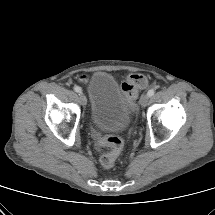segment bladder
<instances>
[{"label": "bladder", "mask_w": 215, "mask_h": 215, "mask_svg": "<svg viewBox=\"0 0 215 215\" xmlns=\"http://www.w3.org/2000/svg\"><path fill=\"white\" fill-rule=\"evenodd\" d=\"M90 118L100 130L119 132L131 120L130 107L115 78L107 72L93 74L88 84Z\"/></svg>", "instance_id": "31cf9c89"}]
</instances>
